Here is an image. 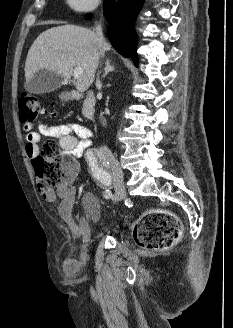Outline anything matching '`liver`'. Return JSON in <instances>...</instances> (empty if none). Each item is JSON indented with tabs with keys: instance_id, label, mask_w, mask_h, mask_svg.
Returning <instances> with one entry per match:
<instances>
[{
	"instance_id": "6515ba94",
	"label": "liver",
	"mask_w": 233,
	"mask_h": 328,
	"mask_svg": "<svg viewBox=\"0 0 233 328\" xmlns=\"http://www.w3.org/2000/svg\"><path fill=\"white\" fill-rule=\"evenodd\" d=\"M110 45L99 41L90 29L62 25L41 33L28 51L25 62L26 82L40 69H48L69 80L74 67L83 73L74 75L76 89L86 91L94 81L99 59Z\"/></svg>"
}]
</instances>
